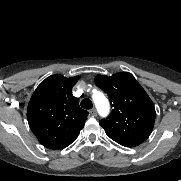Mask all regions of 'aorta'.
Returning <instances> with one entry per match:
<instances>
[{
  "instance_id": "1",
  "label": "aorta",
  "mask_w": 181,
  "mask_h": 181,
  "mask_svg": "<svg viewBox=\"0 0 181 181\" xmlns=\"http://www.w3.org/2000/svg\"><path fill=\"white\" fill-rule=\"evenodd\" d=\"M97 111L102 117H105L109 113L110 105L108 99L101 92H96L92 96Z\"/></svg>"
}]
</instances>
